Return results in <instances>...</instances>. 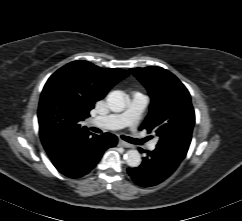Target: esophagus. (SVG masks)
I'll list each match as a JSON object with an SVG mask.
<instances>
[{
    "label": "esophagus",
    "instance_id": "34e87169",
    "mask_svg": "<svg viewBox=\"0 0 242 221\" xmlns=\"http://www.w3.org/2000/svg\"><path fill=\"white\" fill-rule=\"evenodd\" d=\"M119 145L122 146V147H125V148H131L132 147L131 144H129V143H127V142H125L121 139L119 140Z\"/></svg>",
    "mask_w": 242,
    "mask_h": 221
}]
</instances>
